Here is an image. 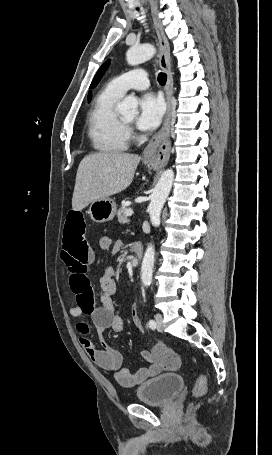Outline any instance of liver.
<instances>
[{"mask_svg": "<svg viewBox=\"0 0 272 455\" xmlns=\"http://www.w3.org/2000/svg\"><path fill=\"white\" fill-rule=\"evenodd\" d=\"M138 155L99 152L79 164L72 197V208L81 211L90 203L125 190L133 181L140 162Z\"/></svg>", "mask_w": 272, "mask_h": 455, "instance_id": "liver-1", "label": "liver"}]
</instances>
